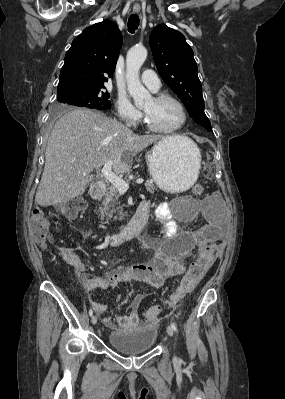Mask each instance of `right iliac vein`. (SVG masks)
<instances>
[{"mask_svg": "<svg viewBox=\"0 0 285 399\" xmlns=\"http://www.w3.org/2000/svg\"><path fill=\"white\" fill-rule=\"evenodd\" d=\"M91 322H92V324H94V325L97 323V317H96L95 315L92 316Z\"/></svg>", "mask_w": 285, "mask_h": 399, "instance_id": "1", "label": "right iliac vein"}]
</instances>
